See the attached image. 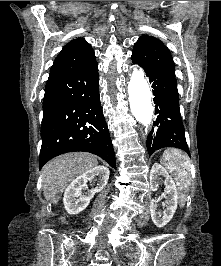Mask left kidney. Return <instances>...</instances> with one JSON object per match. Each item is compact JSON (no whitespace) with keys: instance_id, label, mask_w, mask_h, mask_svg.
Instances as JSON below:
<instances>
[{"instance_id":"5707ae66","label":"left kidney","mask_w":221,"mask_h":266,"mask_svg":"<svg viewBox=\"0 0 221 266\" xmlns=\"http://www.w3.org/2000/svg\"><path fill=\"white\" fill-rule=\"evenodd\" d=\"M158 176H164L165 178V193L167 194L166 209L164 210L163 215L158 214L156 212L157 201L153 199L150 203V213L153 223L157 227L161 228L164 227L172 219L177 209L178 192L172 177L169 175L166 169L159 163H155L150 171L151 189L157 188Z\"/></svg>"}]
</instances>
